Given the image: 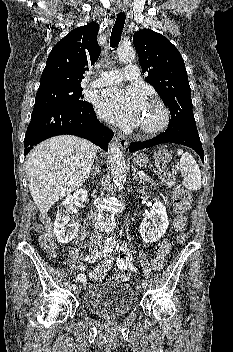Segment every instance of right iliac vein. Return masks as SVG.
<instances>
[{"label": "right iliac vein", "instance_id": "right-iliac-vein-1", "mask_svg": "<svg viewBox=\"0 0 233 352\" xmlns=\"http://www.w3.org/2000/svg\"><path fill=\"white\" fill-rule=\"evenodd\" d=\"M90 250L92 251V253H95V252L97 251V250H96L95 248H93V247L90 248ZM74 291H75L76 294H78V293L80 292V289L76 287Z\"/></svg>", "mask_w": 233, "mask_h": 352}]
</instances>
